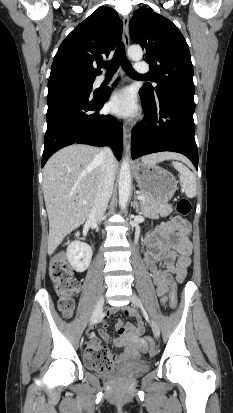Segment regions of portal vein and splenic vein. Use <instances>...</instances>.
<instances>
[{"mask_svg":"<svg viewBox=\"0 0 233 413\" xmlns=\"http://www.w3.org/2000/svg\"><path fill=\"white\" fill-rule=\"evenodd\" d=\"M138 199H139V200H143L144 197H143L142 195H138ZM83 203H85V201H84Z\"/></svg>","mask_w":233,"mask_h":413,"instance_id":"portal-vein-and-splenic-vein-1","label":"portal vein and splenic vein"}]
</instances>
